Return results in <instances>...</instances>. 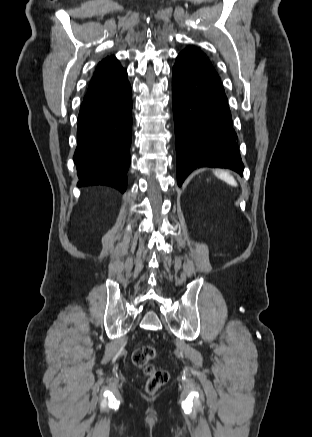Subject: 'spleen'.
<instances>
[{"label": "spleen", "instance_id": "1", "mask_svg": "<svg viewBox=\"0 0 312 437\" xmlns=\"http://www.w3.org/2000/svg\"><path fill=\"white\" fill-rule=\"evenodd\" d=\"M215 174L217 175L218 178L225 181L229 185L237 186V182L235 181L233 176L230 175L229 172H226V171L217 172V171H215Z\"/></svg>", "mask_w": 312, "mask_h": 437}]
</instances>
